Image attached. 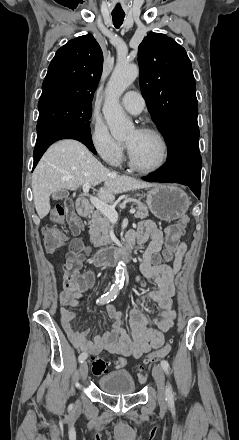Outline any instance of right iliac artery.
<instances>
[{"label":"right iliac artery","instance_id":"1","mask_svg":"<svg viewBox=\"0 0 239 440\" xmlns=\"http://www.w3.org/2000/svg\"><path fill=\"white\" fill-rule=\"evenodd\" d=\"M119 290L120 289L118 286H112L109 292H107L106 294L102 295L99 299H97L96 303L102 305L109 303L110 301H113L118 295ZM87 357L88 355L86 353H81L79 355L78 360L80 363H82Z\"/></svg>","mask_w":239,"mask_h":440}]
</instances>
